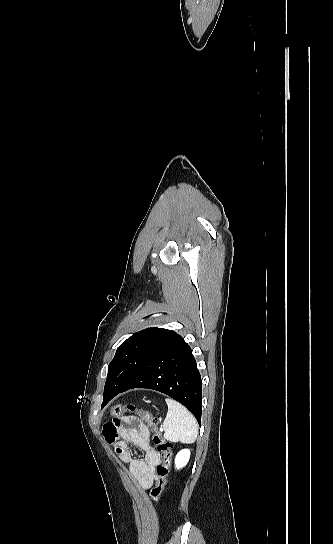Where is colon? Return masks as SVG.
Wrapping results in <instances>:
<instances>
[{
    "label": "colon",
    "mask_w": 333,
    "mask_h": 544,
    "mask_svg": "<svg viewBox=\"0 0 333 544\" xmlns=\"http://www.w3.org/2000/svg\"><path fill=\"white\" fill-rule=\"evenodd\" d=\"M123 413H136L153 432V442L158 452L162 456V463L156 467V481L150 491V495L153 501L159 502L166 487L173 446L169 441L162 437L159 430V420L151 412L147 410H139L132 405L122 404H117L110 408V415L113 417H119Z\"/></svg>",
    "instance_id": "colon-1"
}]
</instances>
